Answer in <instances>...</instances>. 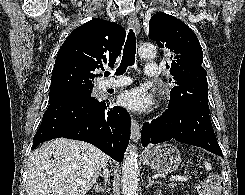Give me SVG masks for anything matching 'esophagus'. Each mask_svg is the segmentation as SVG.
Listing matches in <instances>:
<instances>
[{"label": "esophagus", "instance_id": "obj_1", "mask_svg": "<svg viewBox=\"0 0 245 195\" xmlns=\"http://www.w3.org/2000/svg\"><path fill=\"white\" fill-rule=\"evenodd\" d=\"M128 24L129 27L136 33L139 34L140 32V23L138 20V17L136 14H131L128 18ZM140 131H141V126L140 124L134 119L131 118V138L132 141L137 143L140 139Z\"/></svg>", "mask_w": 245, "mask_h": 195}]
</instances>
